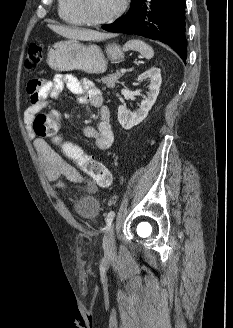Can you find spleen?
<instances>
[{
	"label": "spleen",
	"mask_w": 233,
	"mask_h": 328,
	"mask_svg": "<svg viewBox=\"0 0 233 328\" xmlns=\"http://www.w3.org/2000/svg\"><path fill=\"white\" fill-rule=\"evenodd\" d=\"M123 50L124 51H129V50L137 51L144 58H147V59H151L154 55V51H153L152 47L139 39H133V40L127 41L123 45Z\"/></svg>",
	"instance_id": "spleen-1"
}]
</instances>
